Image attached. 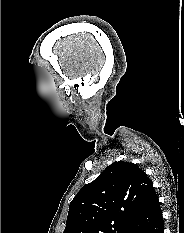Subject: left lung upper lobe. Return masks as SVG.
<instances>
[{
	"mask_svg": "<svg viewBox=\"0 0 184 233\" xmlns=\"http://www.w3.org/2000/svg\"><path fill=\"white\" fill-rule=\"evenodd\" d=\"M153 191L136 164L114 162L71 201L63 233H129Z\"/></svg>",
	"mask_w": 184,
	"mask_h": 233,
	"instance_id": "left-lung-upper-lobe-1",
	"label": "left lung upper lobe"
}]
</instances>
